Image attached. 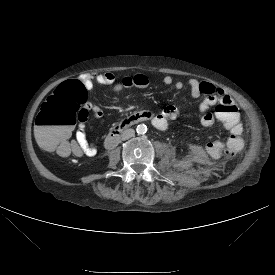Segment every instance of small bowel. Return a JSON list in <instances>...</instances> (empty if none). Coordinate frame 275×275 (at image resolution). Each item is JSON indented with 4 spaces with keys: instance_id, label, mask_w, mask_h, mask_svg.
I'll return each instance as SVG.
<instances>
[{
    "instance_id": "small-bowel-1",
    "label": "small bowel",
    "mask_w": 275,
    "mask_h": 275,
    "mask_svg": "<svg viewBox=\"0 0 275 275\" xmlns=\"http://www.w3.org/2000/svg\"><path fill=\"white\" fill-rule=\"evenodd\" d=\"M79 80L87 87L91 88L94 84L110 85L114 82V75L111 73H97L94 75H82ZM162 83L166 86H171L176 90H181L184 83L180 80H175L172 76L166 75L162 78ZM190 95L194 98L204 96L197 107L198 124L202 128H209L217 121L216 112H211L210 109L217 103L229 101L234 103L230 96L222 89L215 87L208 82H201L196 79H190L187 82ZM87 109L96 119H103V111L96 105H88ZM180 115L179 109L174 105H169L163 110L157 105H152L147 108L145 117L148 122L152 123L159 130H166L170 121L175 120ZM230 137L219 135L212 141L208 142L205 147V152L208 157L212 159H220L222 157H229L233 154L239 153L244 146L242 133V123L235 129H226ZM76 143L79 153L86 156H94L97 153V147L87 138L85 130V122L78 125L76 131Z\"/></svg>"
}]
</instances>
